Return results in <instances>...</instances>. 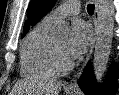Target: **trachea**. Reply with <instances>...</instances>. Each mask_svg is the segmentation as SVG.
<instances>
[{"label":"trachea","mask_w":119,"mask_h":95,"mask_svg":"<svg viewBox=\"0 0 119 95\" xmlns=\"http://www.w3.org/2000/svg\"><path fill=\"white\" fill-rule=\"evenodd\" d=\"M94 8H95L94 4H89L87 6V12L92 15L94 13Z\"/></svg>","instance_id":"trachea-1"}]
</instances>
